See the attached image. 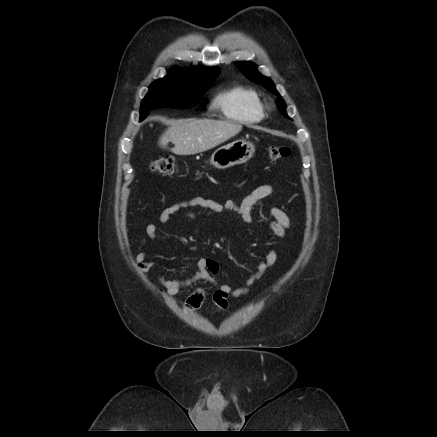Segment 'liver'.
Masks as SVG:
<instances>
[{"mask_svg":"<svg viewBox=\"0 0 437 437\" xmlns=\"http://www.w3.org/2000/svg\"><path fill=\"white\" fill-rule=\"evenodd\" d=\"M242 130V125L232 121L211 119H180L162 134L159 145L167 148L174 144L171 151L177 155H193L210 150Z\"/></svg>","mask_w":437,"mask_h":437,"instance_id":"1","label":"liver"}]
</instances>
